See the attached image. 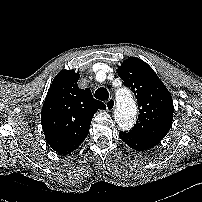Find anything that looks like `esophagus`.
<instances>
[{
	"instance_id": "obj_1",
	"label": "esophagus",
	"mask_w": 202,
	"mask_h": 202,
	"mask_svg": "<svg viewBox=\"0 0 202 202\" xmlns=\"http://www.w3.org/2000/svg\"><path fill=\"white\" fill-rule=\"evenodd\" d=\"M105 104H106V109L108 111H112L115 108L116 102H115V99L111 97L106 101Z\"/></svg>"
}]
</instances>
